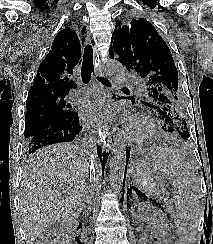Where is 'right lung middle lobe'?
I'll list each match as a JSON object with an SVG mask.
<instances>
[{
  "instance_id": "dd1d6c3e",
  "label": "right lung middle lobe",
  "mask_w": 213,
  "mask_h": 244,
  "mask_svg": "<svg viewBox=\"0 0 213 244\" xmlns=\"http://www.w3.org/2000/svg\"><path fill=\"white\" fill-rule=\"evenodd\" d=\"M66 95L47 94L28 97L26 101L25 138L34 135L61 121L71 119L76 112L72 111Z\"/></svg>"
}]
</instances>
